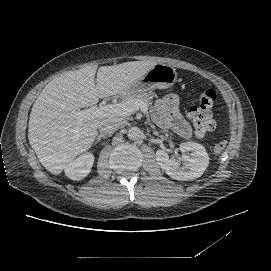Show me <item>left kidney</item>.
Listing matches in <instances>:
<instances>
[{
  "instance_id": "obj_1",
  "label": "left kidney",
  "mask_w": 271,
  "mask_h": 271,
  "mask_svg": "<svg viewBox=\"0 0 271 271\" xmlns=\"http://www.w3.org/2000/svg\"><path fill=\"white\" fill-rule=\"evenodd\" d=\"M179 148L183 153L181 157L183 165L180 166V162L173 158L170 159L165 151L157 150L156 161L160 167L176 180L186 181L200 177L209 164V156L205 147L195 142H185L180 144Z\"/></svg>"
}]
</instances>
